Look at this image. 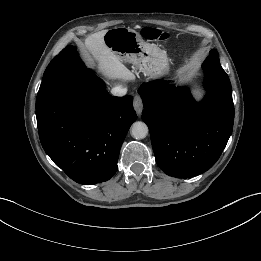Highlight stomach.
<instances>
[{
  "label": "stomach",
  "mask_w": 261,
  "mask_h": 261,
  "mask_svg": "<svg viewBox=\"0 0 261 261\" xmlns=\"http://www.w3.org/2000/svg\"><path fill=\"white\" fill-rule=\"evenodd\" d=\"M105 45L123 62L135 66L145 76L163 77L169 74V60L157 45L147 43L129 27H114L104 35Z\"/></svg>",
  "instance_id": "obj_1"
}]
</instances>
